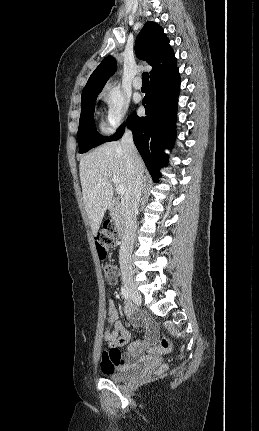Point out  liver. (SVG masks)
I'll return each instance as SVG.
<instances>
[{"instance_id": "6515ba94", "label": "liver", "mask_w": 259, "mask_h": 431, "mask_svg": "<svg viewBox=\"0 0 259 431\" xmlns=\"http://www.w3.org/2000/svg\"><path fill=\"white\" fill-rule=\"evenodd\" d=\"M141 169L145 167L141 161ZM80 181L83 202L93 234L100 228L104 214L113 199V186L110 178L118 176L128 191L131 175L128 171L121 142L114 141L97 147L80 160Z\"/></svg>"}]
</instances>
